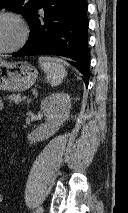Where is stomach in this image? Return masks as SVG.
I'll list each match as a JSON object with an SVG mask.
<instances>
[{"label": "stomach", "mask_w": 128, "mask_h": 213, "mask_svg": "<svg viewBox=\"0 0 128 213\" xmlns=\"http://www.w3.org/2000/svg\"><path fill=\"white\" fill-rule=\"evenodd\" d=\"M38 77L37 69L27 61L0 59V90L21 92L29 89Z\"/></svg>", "instance_id": "stomach-1"}]
</instances>
